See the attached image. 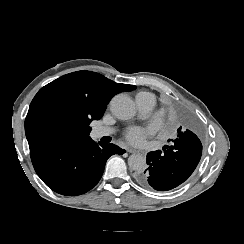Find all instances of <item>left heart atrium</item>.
<instances>
[{"label": "left heart atrium", "instance_id": "1", "mask_svg": "<svg viewBox=\"0 0 244 244\" xmlns=\"http://www.w3.org/2000/svg\"><path fill=\"white\" fill-rule=\"evenodd\" d=\"M149 132L142 128H133L126 133V139L129 143L139 145L145 141Z\"/></svg>", "mask_w": 244, "mask_h": 244}]
</instances>
